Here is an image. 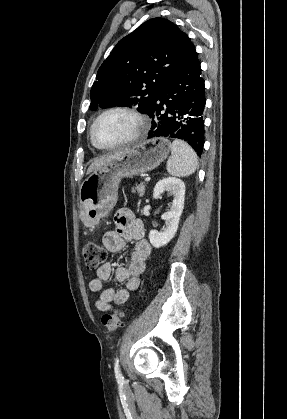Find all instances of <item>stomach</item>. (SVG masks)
Listing matches in <instances>:
<instances>
[{"label":"stomach","mask_w":287,"mask_h":419,"mask_svg":"<svg viewBox=\"0 0 287 419\" xmlns=\"http://www.w3.org/2000/svg\"><path fill=\"white\" fill-rule=\"evenodd\" d=\"M170 150L168 139L155 137L126 149L94 170L79 189L81 217L97 224L115 206L121 179L153 170L167 158Z\"/></svg>","instance_id":"1"}]
</instances>
